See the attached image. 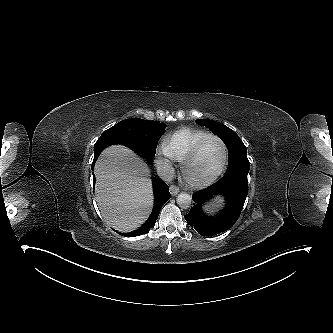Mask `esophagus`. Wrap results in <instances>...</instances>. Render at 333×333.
Segmentation results:
<instances>
[{"label": "esophagus", "instance_id": "1", "mask_svg": "<svg viewBox=\"0 0 333 333\" xmlns=\"http://www.w3.org/2000/svg\"><path fill=\"white\" fill-rule=\"evenodd\" d=\"M169 190H170V193H171L172 196H175L179 193V188L175 185H171L169 187Z\"/></svg>", "mask_w": 333, "mask_h": 333}]
</instances>
